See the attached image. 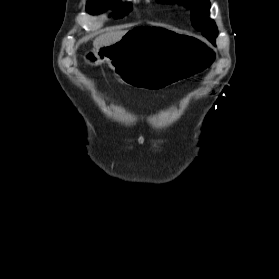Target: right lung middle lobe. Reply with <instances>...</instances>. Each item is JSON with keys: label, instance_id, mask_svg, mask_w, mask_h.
I'll list each match as a JSON object with an SVG mask.
<instances>
[{"label": "right lung middle lobe", "instance_id": "dd1d6c3e", "mask_svg": "<svg viewBox=\"0 0 279 279\" xmlns=\"http://www.w3.org/2000/svg\"><path fill=\"white\" fill-rule=\"evenodd\" d=\"M112 5H117V2L114 0H96V1H89L86 6V10L90 14H97L105 12L107 8ZM132 6L130 4H126L124 6H117L114 13L111 15L114 18L123 17L129 11H131Z\"/></svg>", "mask_w": 279, "mask_h": 279}]
</instances>
